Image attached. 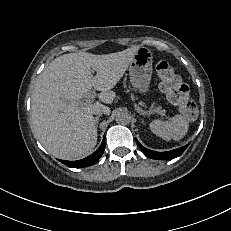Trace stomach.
Wrapping results in <instances>:
<instances>
[{"instance_id": "stomach-1", "label": "stomach", "mask_w": 231, "mask_h": 231, "mask_svg": "<svg viewBox=\"0 0 231 231\" xmlns=\"http://www.w3.org/2000/svg\"><path fill=\"white\" fill-rule=\"evenodd\" d=\"M152 60V52L146 47H140L129 65L130 82L140 93L149 91L153 70Z\"/></svg>"}]
</instances>
